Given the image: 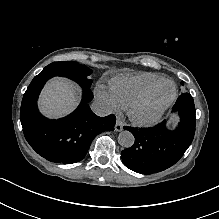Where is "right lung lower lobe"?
I'll use <instances>...</instances> for the list:
<instances>
[{"label": "right lung lower lobe", "instance_id": "1", "mask_svg": "<svg viewBox=\"0 0 219 219\" xmlns=\"http://www.w3.org/2000/svg\"><path fill=\"white\" fill-rule=\"evenodd\" d=\"M52 73H40L28 86L21 103L20 120L26 140L31 147L48 161L71 164L82 160L96 135L114 130L116 117L95 115L88 103L93 99L90 87L80 84L84 95L82 102L70 115L50 120L37 108L39 93L52 78Z\"/></svg>", "mask_w": 219, "mask_h": 219}]
</instances>
